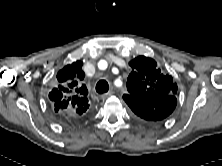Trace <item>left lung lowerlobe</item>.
<instances>
[{
  "mask_svg": "<svg viewBox=\"0 0 222 166\" xmlns=\"http://www.w3.org/2000/svg\"><path fill=\"white\" fill-rule=\"evenodd\" d=\"M176 104H177L176 97L173 95H169V96H166L165 98H162L161 105L157 106L156 104V107H154L156 109L149 107L148 108L150 110L149 113L148 111L145 113H142V111L138 110L137 115L135 113L134 114L139 120H142L145 122H158L168 117L175 109ZM149 105L151 104L149 103Z\"/></svg>",
  "mask_w": 222,
  "mask_h": 166,
  "instance_id": "obj_1",
  "label": "left lung lower lobe"
}]
</instances>
